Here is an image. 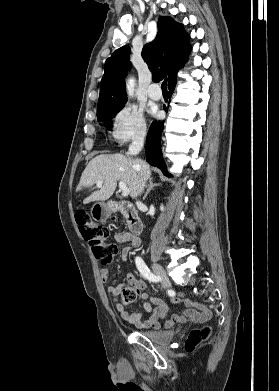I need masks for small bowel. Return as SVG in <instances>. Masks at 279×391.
<instances>
[{
	"label": "small bowel",
	"instance_id": "c3829d8e",
	"mask_svg": "<svg viewBox=\"0 0 279 391\" xmlns=\"http://www.w3.org/2000/svg\"><path fill=\"white\" fill-rule=\"evenodd\" d=\"M115 240L119 243L130 242V244L122 250L121 258L123 261H126L131 252L139 245V240L134 239L133 236L128 233L116 234ZM100 277L103 282H106L109 277L108 269H101ZM127 286L133 288L140 295L144 309L150 313L149 318L143 319L140 312H127L119 302L118 289L115 287L109 286L107 291L116 304L121 318L125 322L133 324L138 328H170L177 323H185L187 321L204 323L211 318V312L206 306L186 298L183 294H178L172 299V302L183 303L185 305L184 311L182 314L173 315L165 324H161L160 320L165 316L168 310L167 304L158 298H153L149 301L147 284L142 280L136 279L132 274H129L127 277ZM152 304L155 306L154 309L152 308Z\"/></svg>",
	"mask_w": 279,
	"mask_h": 391
}]
</instances>
